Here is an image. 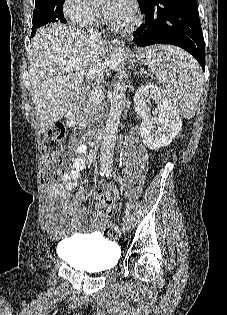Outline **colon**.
<instances>
[{
  "instance_id": "obj_1",
  "label": "colon",
  "mask_w": 227,
  "mask_h": 315,
  "mask_svg": "<svg viewBox=\"0 0 227 315\" xmlns=\"http://www.w3.org/2000/svg\"><path fill=\"white\" fill-rule=\"evenodd\" d=\"M65 141V128L62 125L51 127L43 138V162L40 171V179L44 184L55 182L62 172L67 170L70 157L63 154ZM97 221L105 226L104 235L108 238L120 236L119 227L111 223L109 216L112 213V199L108 191L101 189L96 194Z\"/></svg>"
}]
</instances>
